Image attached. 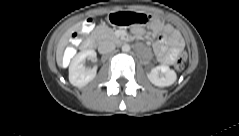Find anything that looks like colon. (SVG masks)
I'll list each match as a JSON object with an SVG mask.
<instances>
[{
    "mask_svg": "<svg viewBox=\"0 0 239 136\" xmlns=\"http://www.w3.org/2000/svg\"><path fill=\"white\" fill-rule=\"evenodd\" d=\"M92 28V21L91 20H87L82 28L83 32H88L90 31V29ZM184 55L181 54L179 56V58L176 60L175 62V68L180 71L183 69L184 67Z\"/></svg>",
    "mask_w": 239,
    "mask_h": 136,
    "instance_id": "1",
    "label": "colon"
}]
</instances>
